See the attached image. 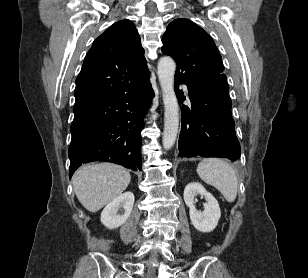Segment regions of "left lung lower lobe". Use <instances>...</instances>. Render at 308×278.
<instances>
[{
  "label": "left lung lower lobe",
  "mask_w": 308,
  "mask_h": 278,
  "mask_svg": "<svg viewBox=\"0 0 308 278\" xmlns=\"http://www.w3.org/2000/svg\"><path fill=\"white\" fill-rule=\"evenodd\" d=\"M183 80L175 78V92L181 104L186 97L179 90ZM191 108L181 106L182 125L179 157L219 156L232 161L240 158V144L231 115L232 102L226 75L187 84Z\"/></svg>",
  "instance_id": "obj_1"
}]
</instances>
